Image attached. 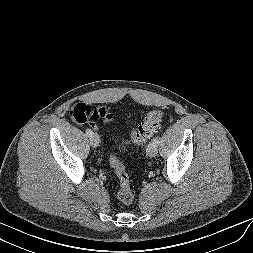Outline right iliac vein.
<instances>
[{"label":"right iliac vein","instance_id":"1","mask_svg":"<svg viewBox=\"0 0 253 253\" xmlns=\"http://www.w3.org/2000/svg\"><path fill=\"white\" fill-rule=\"evenodd\" d=\"M100 143V139H99V136L97 134H93L91 137H90V144L92 147H97Z\"/></svg>","mask_w":253,"mask_h":253}]
</instances>
